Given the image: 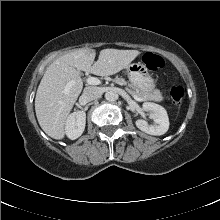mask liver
<instances>
[{
  "instance_id": "1",
  "label": "liver",
  "mask_w": 220,
  "mask_h": 220,
  "mask_svg": "<svg viewBox=\"0 0 220 220\" xmlns=\"http://www.w3.org/2000/svg\"><path fill=\"white\" fill-rule=\"evenodd\" d=\"M140 54L138 50L103 49L94 62V49H78L67 53L49 65L38 86L35 111L38 123L50 137L60 140L65 136V123L80 95L83 82L79 71L98 76H109L127 68ZM74 85L68 92L69 82Z\"/></svg>"
}]
</instances>
